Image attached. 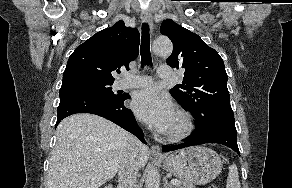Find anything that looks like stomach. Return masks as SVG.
I'll use <instances>...</instances> for the list:
<instances>
[{"label":"stomach","mask_w":292,"mask_h":188,"mask_svg":"<svg viewBox=\"0 0 292 188\" xmlns=\"http://www.w3.org/2000/svg\"><path fill=\"white\" fill-rule=\"evenodd\" d=\"M163 167L182 181L205 184L220 174L222 161L214 150L195 146L167 155Z\"/></svg>","instance_id":"0dacf381"}]
</instances>
